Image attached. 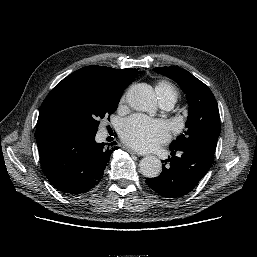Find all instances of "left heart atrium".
<instances>
[{
	"instance_id": "left-heart-atrium-1",
	"label": "left heart atrium",
	"mask_w": 257,
	"mask_h": 257,
	"mask_svg": "<svg viewBox=\"0 0 257 257\" xmlns=\"http://www.w3.org/2000/svg\"><path fill=\"white\" fill-rule=\"evenodd\" d=\"M121 138L128 146L139 151H152L170 139L168 125L142 115H132L121 126Z\"/></svg>"
}]
</instances>
